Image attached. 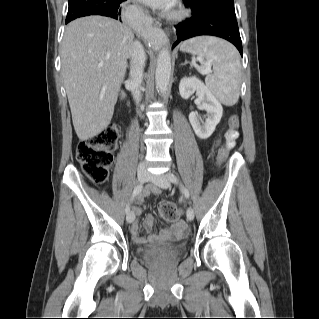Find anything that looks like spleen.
Listing matches in <instances>:
<instances>
[{
  "label": "spleen",
  "mask_w": 319,
  "mask_h": 319,
  "mask_svg": "<svg viewBox=\"0 0 319 319\" xmlns=\"http://www.w3.org/2000/svg\"><path fill=\"white\" fill-rule=\"evenodd\" d=\"M182 52L205 59L213 74L205 79L208 90L226 106L237 103L240 95L241 63L238 51L230 43L210 36L195 37L182 43Z\"/></svg>",
  "instance_id": "spleen-1"
}]
</instances>
